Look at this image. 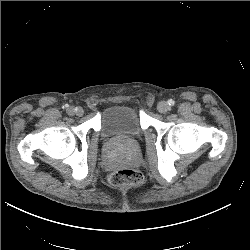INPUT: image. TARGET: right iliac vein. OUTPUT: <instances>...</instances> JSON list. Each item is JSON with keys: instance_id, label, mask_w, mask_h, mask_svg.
I'll return each instance as SVG.
<instances>
[{"instance_id": "right-iliac-vein-1", "label": "right iliac vein", "mask_w": 250, "mask_h": 250, "mask_svg": "<svg viewBox=\"0 0 250 250\" xmlns=\"http://www.w3.org/2000/svg\"><path fill=\"white\" fill-rule=\"evenodd\" d=\"M67 111L69 115L82 116L84 114V110L81 107L78 108L69 107Z\"/></svg>"}]
</instances>
